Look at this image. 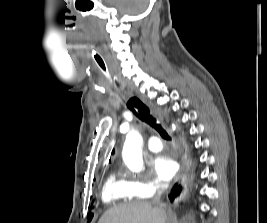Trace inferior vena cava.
<instances>
[{
	"instance_id": "1",
	"label": "inferior vena cava",
	"mask_w": 267,
	"mask_h": 223,
	"mask_svg": "<svg viewBox=\"0 0 267 223\" xmlns=\"http://www.w3.org/2000/svg\"><path fill=\"white\" fill-rule=\"evenodd\" d=\"M157 187H158L157 194L154 196L152 202L155 205H160L161 204V196H162L163 192L167 189L168 185L161 183V184H158Z\"/></svg>"
}]
</instances>
